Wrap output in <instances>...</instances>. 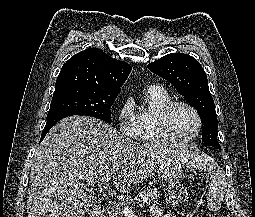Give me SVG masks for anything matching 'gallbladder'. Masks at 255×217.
I'll return each instance as SVG.
<instances>
[{
	"label": "gallbladder",
	"mask_w": 255,
	"mask_h": 217,
	"mask_svg": "<svg viewBox=\"0 0 255 217\" xmlns=\"http://www.w3.org/2000/svg\"><path fill=\"white\" fill-rule=\"evenodd\" d=\"M89 201H90V203H95L96 202V200L94 199V198H89Z\"/></svg>",
	"instance_id": "bac80fb5"
}]
</instances>
